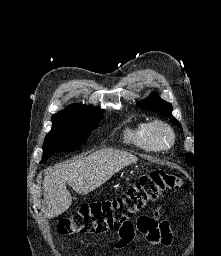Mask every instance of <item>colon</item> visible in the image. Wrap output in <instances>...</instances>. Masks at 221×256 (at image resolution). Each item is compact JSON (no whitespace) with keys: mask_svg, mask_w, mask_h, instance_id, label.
Returning <instances> with one entry per match:
<instances>
[{"mask_svg":"<svg viewBox=\"0 0 221 256\" xmlns=\"http://www.w3.org/2000/svg\"><path fill=\"white\" fill-rule=\"evenodd\" d=\"M183 179L164 169H153L139 177L116 198L81 206L58 223L62 235L99 233L107 230H126L137 213L148 204L161 200L171 191L179 190Z\"/></svg>","mask_w":221,"mask_h":256,"instance_id":"colon-1","label":"colon"}]
</instances>
